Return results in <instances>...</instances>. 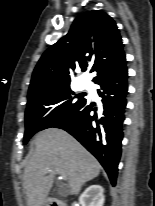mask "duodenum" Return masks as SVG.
Wrapping results in <instances>:
<instances>
[{"instance_id": "1", "label": "duodenum", "mask_w": 155, "mask_h": 206, "mask_svg": "<svg viewBox=\"0 0 155 206\" xmlns=\"http://www.w3.org/2000/svg\"><path fill=\"white\" fill-rule=\"evenodd\" d=\"M47 206H67V205L58 199L52 198L48 201Z\"/></svg>"}]
</instances>
